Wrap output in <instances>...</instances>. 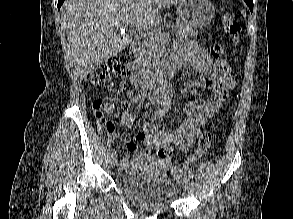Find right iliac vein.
<instances>
[{"mask_svg":"<svg viewBox=\"0 0 293 219\" xmlns=\"http://www.w3.org/2000/svg\"><path fill=\"white\" fill-rule=\"evenodd\" d=\"M116 163H117V154L115 153L111 155L110 164L111 166H115Z\"/></svg>","mask_w":293,"mask_h":219,"instance_id":"obj_1","label":"right iliac vein"}]
</instances>
